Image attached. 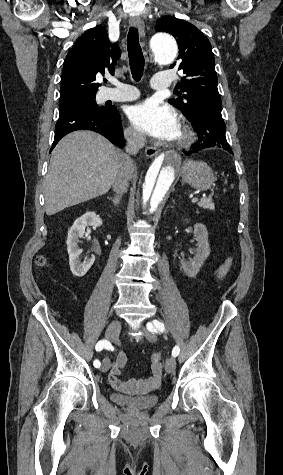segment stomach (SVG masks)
I'll return each instance as SVG.
<instances>
[{
    "label": "stomach",
    "instance_id": "obj_1",
    "mask_svg": "<svg viewBox=\"0 0 283 475\" xmlns=\"http://www.w3.org/2000/svg\"><path fill=\"white\" fill-rule=\"evenodd\" d=\"M181 176L183 182L196 190H209L215 182L214 174L205 162L186 160L182 166Z\"/></svg>",
    "mask_w": 283,
    "mask_h": 475
}]
</instances>
